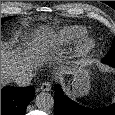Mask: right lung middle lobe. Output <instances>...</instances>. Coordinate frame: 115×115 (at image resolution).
Returning <instances> with one entry per match:
<instances>
[{
  "mask_svg": "<svg viewBox=\"0 0 115 115\" xmlns=\"http://www.w3.org/2000/svg\"><path fill=\"white\" fill-rule=\"evenodd\" d=\"M10 18H11V17L1 18V23L4 22V21H6V20H8V19H10Z\"/></svg>",
  "mask_w": 115,
  "mask_h": 115,
  "instance_id": "right-lung-middle-lobe-1",
  "label": "right lung middle lobe"
}]
</instances>
